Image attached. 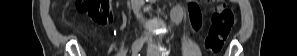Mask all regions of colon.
<instances>
[{
  "label": "colon",
  "mask_w": 297,
  "mask_h": 56,
  "mask_svg": "<svg viewBox=\"0 0 297 56\" xmlns=\"http://www.w3.org/2000/svg\"><path fill=\"white\" fill-rule=\"evenodd\" d=\"M77 8L87 12L100 24H106L112 19L109 0H77ZM235 20L236 16L231 8L224 3H216L212 8L211 26L205 40V47L209 53L215 54L222 49Z\"/></svg>",
  "instance_id": "5ec220e1"
}]
</instances>
